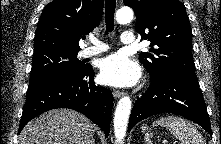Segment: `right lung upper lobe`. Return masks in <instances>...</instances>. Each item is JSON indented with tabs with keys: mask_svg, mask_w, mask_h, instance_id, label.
<instances>
[{
	"mask_svg": "<svg viewBox=\"0 0 221 144\" xmlns=\"http://www.w3.org/2000/svg\"><path fill=\"white\" fill-rule=\"evenodd\" d=\"M103 0H53L43 9L35 32L34 53L46 50L79 52V40L103 14Z\"/></svg>",
	"mask_w": 221,
	"mask_h": 144,
	"instance_id": "right-lung-upper-lobe-1",
	"label": "right lung upper lobe"
}]
</instances>
